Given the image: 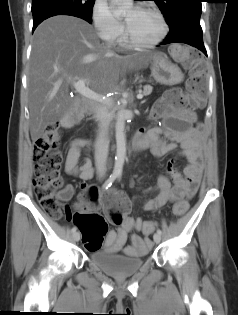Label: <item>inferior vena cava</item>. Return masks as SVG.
Segmentation results:
<instances>
[{
	"label": "inferior vena cava",
	"mask_w": 238,
	"mask_h": 315,
	"mask_svg": "<svg viewBox=\"0 0 238 315\" xmlns=\"http://www.w3.org/2000/svg\"><path fill=\"white\" fill-rule=\"evenodd\" d=\"M95 117L99 122V131L95 140V166L98 176L103 177L106 173L108 156V124L106 120V107L99 105L95 109Z\"/></svg>",
	"instance_id": "inferior-vena-cava-1"
}]
</instances>
